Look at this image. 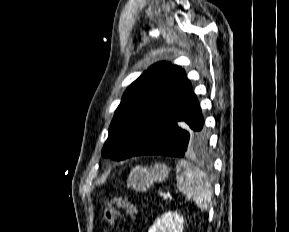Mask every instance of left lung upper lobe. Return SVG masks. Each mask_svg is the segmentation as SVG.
<instances>
[{
    "instance_id": "1",
    "label": "left lung upper lobe",
    "mask_w": 289,
    "mask_h": 232,
    "mask_svg": "<svg viewBox=\"0 0 289 232\" xmlns=\"http://www.w3.org/2000/svg\"><path fill=\"white\" fill-rule=\"evenodd\" d=\"M185 71L166 62H158L125 91L115 111L102 155L124 160L144 146L170 122L191 93Z\"/></svg>"
}]
</instances>
